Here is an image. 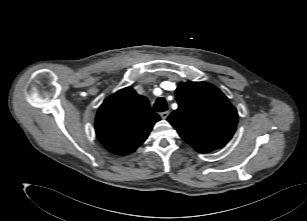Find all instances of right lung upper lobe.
Segmentation results:
<instances>
[{
    "mask_svg": "<svg viewBox=\"0 0 307 221\" xmlns=\"http://www.w3.org/2000/svg\"><path fill=\"white\" fill-rule=\"evenodd\" d=\"M159 120L147 98L127 87L106 98L100 106L95 120L96 134L110 152L127 155L147 139Z\"/></svg>",
    "mask_w": 307,
    "mask_h": 221,
    "instance_id": "1",
    "label": "right lung upper lobe"
}]
</instances>
